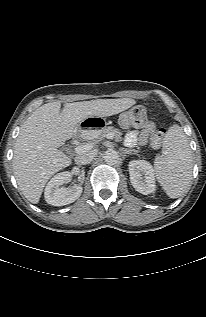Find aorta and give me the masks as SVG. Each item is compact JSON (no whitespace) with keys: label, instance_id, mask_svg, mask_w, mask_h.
Here are the masks:
<instances>
[{"label":"aorta","instance_id":"obj_1","mask_svg":"<svg viewBox=\"0 0 206 317\" xmlns=\"http://www.w3.org/2000/svg\"><path fill=\"white\" fill-rule=\"evenodd\" d=\"M120 156L115 150H108L105 152L104 160L109 165H115L119 162Z\"/></svg>","mask_w":206,"mask_h":317}]
</instances>
